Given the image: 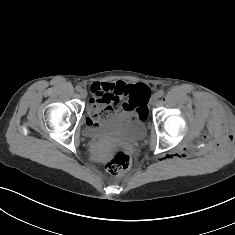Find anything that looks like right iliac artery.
<instances>
[{
    "instance_id": "right-iliac-artery-1",
    "label": "right iliac artery",
    "mask_w": 235,
    "mask_h": 235,
    "mask_svg": "<svg viewBox=\"0 0 235 235\" xmlns=\"http://www.w3.org/2000/svg\"><path fill=\"white\" fill-rule=\"evenodd\" d=\"M75 89H76L77 92H80V91L82 90L81 86H79V85H77V86L75 87Z\"/></svg>"
}]
</instances>
